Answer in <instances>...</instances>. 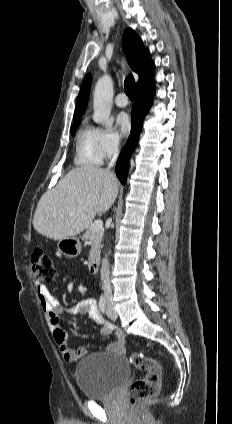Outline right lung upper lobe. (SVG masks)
<instances>
[{"mask_svg": "<svg viewBox=\"0 0 232 424\" xmlns=\"http://www.w3.org/2000/svg\"><path fill=\"white\" fill-rule=\"evenodd\" d=\"M123 46L129 66L139 75L136 89L152 82L154 77V63L149 56V51L143 46L141 39L131 28L126 29L123 34ZM90 86L91 75L89 74L81 85L74 118H80L84 113L87 107Z\"/></svg>", "mask_w": 232, "mask_h": 424, "instance_id": "1", "label": "right lung upper lobe"}]
</instances>
